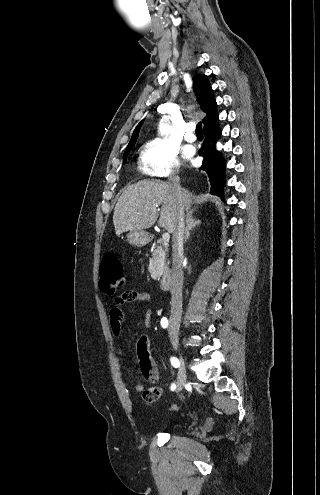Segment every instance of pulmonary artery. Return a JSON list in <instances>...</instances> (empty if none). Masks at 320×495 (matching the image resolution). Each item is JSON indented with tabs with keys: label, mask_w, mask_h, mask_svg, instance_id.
Here are the masks:
<instances>
[{
	"label": "pulmonary artery",
	"mask_w": 320,
	"mask_h": 495,
	"mask_svg": "<svg viewBox=\"0 0 320 495\" xmlns=\"http://www.w3.org/2000/svg\"><path fill=\"white\" fill-rule=\"evenodd\" d=\"M185 140L188 142H194L196 140V135L194 134V126L189 124L185 133Z\"/></svg>",
	"instance_id": "pulmonary-artery-1"
}]
</instances>
